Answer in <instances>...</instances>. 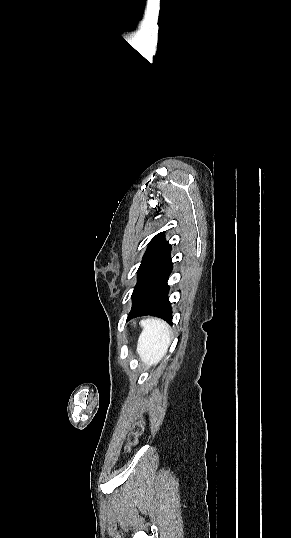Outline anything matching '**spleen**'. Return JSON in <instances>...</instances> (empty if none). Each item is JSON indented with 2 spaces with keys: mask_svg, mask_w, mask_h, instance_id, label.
<instances>
[{
  "mask_svg": "<svg viewBox=\"0 0 291 538\" xmlns=\"http://www.w3.org/2000/svg\"><path fill=\"white\" fill-rule=\"evenodd\" d=\"M137 353L147 367L157 364L165 355L171 342V331L164 322L147 319L142 321Z\"/></svg>",
  "mask_w": 291,
  "mask_h": 538,
  "instance_id": "spleen-1",
  "label": "spleen"
}]
</instances>
